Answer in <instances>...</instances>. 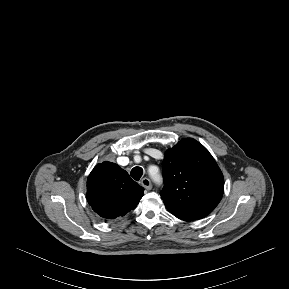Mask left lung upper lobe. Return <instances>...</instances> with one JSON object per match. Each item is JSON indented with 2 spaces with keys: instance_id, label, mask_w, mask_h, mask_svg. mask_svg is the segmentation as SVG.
<instances>
[{
  "instance_id": "5c2ea615",
  "label": "left lung upper lobe",
  "mask_w": 289,
  "mask_h": 289,
  "mask_svg": "<svg viewBox=\"0 0 289 289\" xmlns=\"http://www.w3.org/2000/svg\"><path fill=\"white\" fill-rule=\"evenodd\" d=\"M162 173L161 198L177 217L204 218L222 198L223 174L209 151L194 139L186 138L166 151Z\"/></svg>"
}]
</instances>
